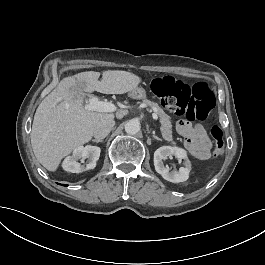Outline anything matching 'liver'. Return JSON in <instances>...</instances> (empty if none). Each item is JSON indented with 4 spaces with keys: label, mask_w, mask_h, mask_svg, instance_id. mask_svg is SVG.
<instances>
[{
    "label": "liver",
    "mask_w": 265,
    "mask_h": 265,
    "mask_svg": "<svg viewBox=\"0 0 265 265\" xmlns=\"http://www.w3.org/2000/svg\"><path fill=\"white\" fill-rule=\"evenodd\" d=\"M79 72L63 77L37 107L30 134L31 145L38 162L48 171L56 172L62 160L79 146L93 138L95 126L103 120H113L114 113L86 111L84 93L121 95L132 92L143 78L127 71Z\"/></svg>",
    "instance_id": "6515ba94"
}]
</instances>
